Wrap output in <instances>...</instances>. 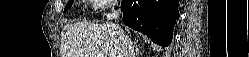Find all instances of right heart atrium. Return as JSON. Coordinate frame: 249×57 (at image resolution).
<instances>
[{"label": "right heart atrium", "instance_id": "obj_1", "mask_svg": "<svg viewBox=\"0 0 249 57\" xmlns=\"http://www.w3.org/2000/svg\"><path fill=\"white\" fill-rule=\"evenodd\" d=\"M114 1L111 0H95L93 1L94 5H97L99 7H108L109 5L113 4Z\"/></svg>", "mask_w": 249, "mask_h": 57}]
</instances>
